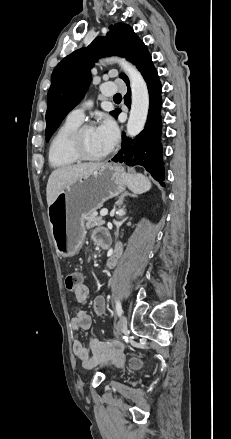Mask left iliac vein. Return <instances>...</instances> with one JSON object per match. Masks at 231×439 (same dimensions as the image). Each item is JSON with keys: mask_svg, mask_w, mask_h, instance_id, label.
I'll return each mask as SVG.
<instances>
[{"mask_svg": "<svg viewBox=\"0 0 231 439\" xmlns=\"http://www.w3.org/2000/svg\"><path fill=\"white\" fill-rule=\"evenodd\" d=\"M126 329H127V320L125 315H122L118 322V333L119 334L125 333Z\"/></svg>", "mask_w": 231, "mask_h": 439, "instance_id": "left-iliac-vein-1", "label": "left iliac vein"}]
</instances>
